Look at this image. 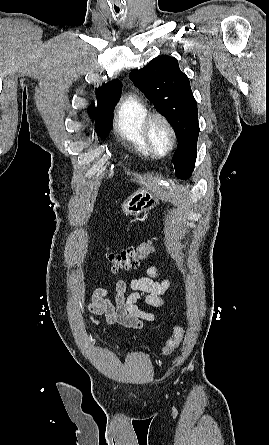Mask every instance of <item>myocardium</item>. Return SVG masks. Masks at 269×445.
Here are the masks:
<instances>
[{
	"label": "myocardium",
	"mask_w": 269,
	"mask_h": 445,
	"mask_svg": "<svg viewBox=\"0 0 269 445\" xmlns=\"http://www.w3.org/2000/svg\"><path fill=\"white\" fill-rule=\"evenodd\" d=\"M155 122L162 123L170 135V145L164 153H161L156 149L151 139V128ZM143 137L151 153L158 158L168 156L174 150L177 142V134L172 122L161 113H152L147 116L143 124Z\"/></svg>",
	"instance_id": "obj_1"
}]
</instances>
